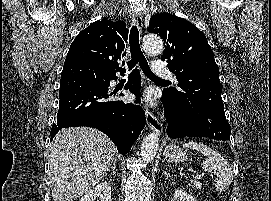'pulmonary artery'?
<instances>
[{
    "label": "pulmonary artery",
    "instance_id": "e3ab8cb5",
    "mask_svg": "<svg viewBox=\"0 0 271 201\" xmlns=\"http://www.w3.org/2000/svg\"><path fill=\"white\" fill-rule=\"evenodd\" d=\"M153 73L161 77H172L170 70L167 67V64L163 60H155L152 65Z\"/></svg>",
    "mask_w": 271,
    "mask_h": 201
}]
</instances>
